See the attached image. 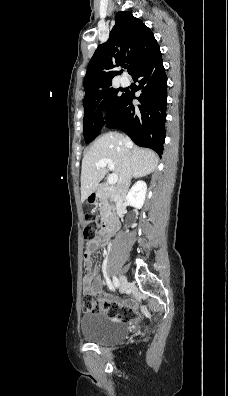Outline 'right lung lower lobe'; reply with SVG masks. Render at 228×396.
Returning a JSON list of instances; mask_svg holds the SVG:
<instances>
[{"label": "right lung lower lobe", "instance_id": "obj_1", "mask_svg": "<svg viewBox=\"0 0 228 396\" xmlns=\"http://www.w3.org/2000/svg\"><path fill=\"white\" fill-rule=\"evenodd\" d=\"M139 82L141 94L132 104L134 94L126 95L107 124L109 128L124 131L135 144L153 149L161 156L165 140V119L167 107V77L163 67L159 45L146 62L132 76Z\"/></svg>", "mask_w": 228, "mask_h": 396}]
</instances>
